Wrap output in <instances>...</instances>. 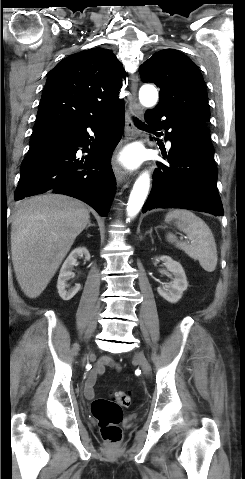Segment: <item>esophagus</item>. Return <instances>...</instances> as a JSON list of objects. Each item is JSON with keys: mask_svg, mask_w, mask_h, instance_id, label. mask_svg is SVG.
Instances as JSON below:
<instances>
[{"mask_svg": "<svg viewBox=\"0 0 245 479\" xmlns=\"http://www.w3.org/2000/svg\"><path fill=\"white\" fill-rule=\"evenodd\" d=\"M137 92V77L134 76L131 84V101L129 104V111L126 113L125 137L126 141L134 139L139 136L140 132L134 123V117L143 116V108L136 99ZM113 171L119 182L123 181L129 175V171L125 169L117 161V153L113 160Z\"/></svg>", "mask_w": 245, "mask_h": 479, "instance_id": "obj_1", "label": "esophagus"}]
</instances>
